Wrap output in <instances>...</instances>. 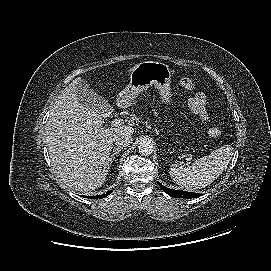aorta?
<instances>
[{
  "instance_id": "obj_1",
  "label": "aorta",
  "mask_w": 271,
  "mask_h": 271,
  "mask_svg": "<svg viewBox=\"0 0 271 271\" xmlns=\"http://www.w3.org/2000/svg\"><path fill=\"white\" fill-rule=\"evenodd\" d=\"M138 150L142 155H150L154 150L153 143L150 140L144 139L139 142Z\"/></svg>"
}]
</instances>
